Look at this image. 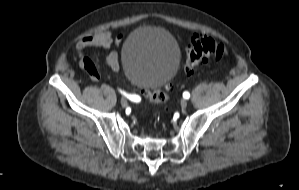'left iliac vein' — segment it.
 Returning <instances> with one entry per match:
<instances>
[{"instance_id": "1", "label": "left iliac vein", "mask_w": 299, "mask_h": 190, "mask_svg": "<svg viewBox=\"0 0 299 190\" xmlns=\"http://www.w3.org/2000/svg\"><path fill=\"white\" fill-rule=\"evenodd\" d=\"M180 105H181V108H182V109H185V108L187 107V105H188L187 100L183 99V100L181 101Z\"/></svg>"}]
</instances>
